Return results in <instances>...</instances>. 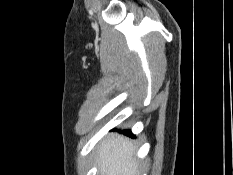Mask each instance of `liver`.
Segmentation results:
<instances>
[{"instance_id":"1","label":"liver","mask_w":233,"mask_h":175,"mask_svg":"<svg viewBox=\"0 0 233 175\" xmlns=\"http://www.w3.org/2000/svg\"><path fill=\"white\" fill-rule=\"evenodd\" d=\"M135 151L129 139L108 137L97 150L99 172L101 175H137Z\"/></svg>"}]
</instances>
